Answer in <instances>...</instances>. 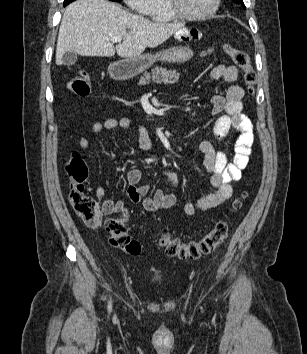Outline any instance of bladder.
I'll return each instance as SVG.
<instances>
[{"label": "bladder", "mask_w": 307, "mask_h": 354, "mask_svg": "<svg viewBox=\"0 0 307 354\" xmlns=\"http://www.w3.org/2000/svg\"><path fill=\"white\" fill-rule=\"evenodd\" d=\"M162 277H163L162 272H160V271H154V273H153V278H154L155 280H161Z\"/></svg>", "instance_id": "1"}]
</instances>
